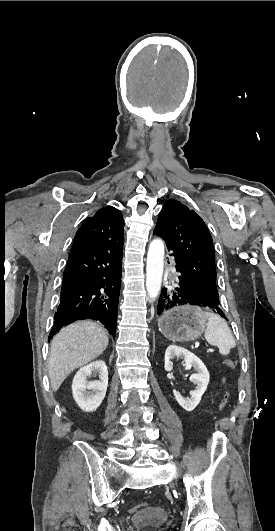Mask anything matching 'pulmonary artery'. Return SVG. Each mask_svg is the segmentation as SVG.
Segmentation results:
<instances>
[{"label": "pulmonary artery", "instance_id": "obj_1", "mask_svg": "<svg viewBox=\"0 0 275 531\" xmlns=\"http://www.w3.org/2000/svg\"><path fill=\"white\" fill-rule=\"evenodd\" d=\"M169 271H170V273L175 274V273H177L178 268H177V266L172 265V266H170Z\"/></svg>", "mask_w": 275, "mask_h": 531}]
</instances>
